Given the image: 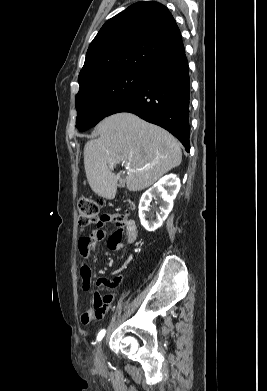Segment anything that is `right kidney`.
Returning <instances> with one entry per match:
<instances>
[{
	"mask_svg": "<svg viewBox=\"0 0 267 391\" xmlns=\"http://www.w3.org/2000/svg\"><path fill=\"white\" fill-rule=\"evenodd\" d=\"M180 179L175 174H169L161 178L154 186L149 188L141 197L139 202V218L142 226L150 232L162 226L163 221L173 208V200L180 190ZM162 198L160 213L156 214V219H149L148 206L153 197Z\"/></svg>",
	"mask_w": 267,
	"mask_h": 391,
	"instance_id": "1",
	"label": "right kidney"
}]
</instances>
